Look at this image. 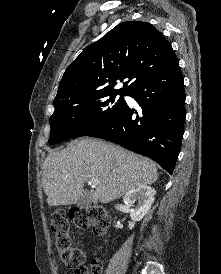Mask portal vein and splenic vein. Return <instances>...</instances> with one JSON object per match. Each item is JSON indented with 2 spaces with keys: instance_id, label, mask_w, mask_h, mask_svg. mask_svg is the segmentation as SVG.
Masks as SVG:
<instances>
[{
  "instance_id": "portal-vein-and-splenic-vein-1",
  "label": "portal vein and splenic vein",
  "mask_w": 221,
  "mask_h": 274,
  "mask_svg": "<svg viewBox=\"0 0 221 274\" xmlns=\"http://www.w3.org/2000/svg\"><path fill=\"white\" fill-rule=\"evenodd\" d=\"M89 184L92 185L93 187L96 186L98 184V181L96 179H91L89 181Z\"/></svg>"
}]
</instances>
